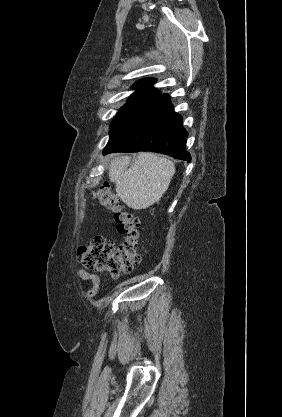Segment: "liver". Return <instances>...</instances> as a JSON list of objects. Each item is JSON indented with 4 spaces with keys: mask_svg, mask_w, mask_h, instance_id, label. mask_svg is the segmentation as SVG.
I'll return each mask as SVG.
<instances>
[{
    "mask_svg": "<svg viewBox=\"0 0 282 417\" xmlns=\"http://www.w3.org/2000/svg\"><path fill=\"white\" fill-rule=\"evenodd\" d=\"M131 156H115L109 164L108 176L116 184V192L130 209H147L167 190L175 172L174 162L154 152H139L128 168Z\"/></svg>",
    "mask_w": 282,
    "mask_h": 417,
    "instance_id": "obj_1",
    "label": "liver"
}]
</instances>
